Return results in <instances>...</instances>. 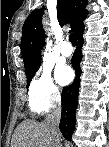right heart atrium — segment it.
Segmentation results:
<instances>
[{"label":"right heart atrium","mask_w":109,"mask_h":147,"mask_svg":"<svg viewBox=\"0 0 109 147\" xmlns=\"http://www.w3.org/2000/svg\"><path fill=\"white\" fill-rule=\"evenodd\" d=\"M60 98V91L51 76V69L42 66L30 83L29 102L42 112L55 106Z\"/></svg>","instance_id":"right-heart-atrium-1"}]
</instances>
